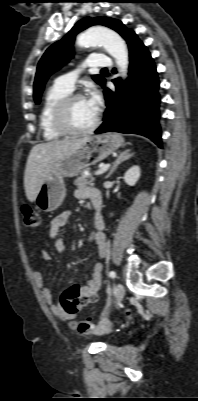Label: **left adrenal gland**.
I'll return each instance as SVG.
<instances>
[{
	"instance_id": "obj_1",
	"label": "left adrenal gland",
	"mask_w": 198,
	"mask_h": 401,
	"mask_svg": "<svg viewBox=\"0 0 198 401\" xmlns=\"http://www.w3.org/2000/svg\"><path fill=\"white\" fill-rule=\"evenodd\" d=\"M133 155H134V153H130V149L121 152L118 155V157L115 159V161L113 162L111 170L105 178L108 179L121 163L129 160L131 157H133Z\"/></svg>"
}]
</instances>
